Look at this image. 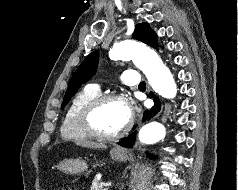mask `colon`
<instances>
[{"instance_id":"5ec220e1","label":"colon","mask_w":238,"mask_h":190,"mask_svg":"<svg viewBox=\"0 0 238 190\" xmlns=\"http://www.w3.org/2000/svg\"><path fill=\"white\" fill-rule=\"evenodd\" d=\"M63 190H74V189L71 187H65Z\"/></svg>"}]
</instances>
